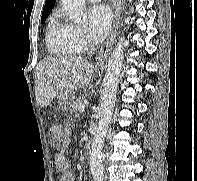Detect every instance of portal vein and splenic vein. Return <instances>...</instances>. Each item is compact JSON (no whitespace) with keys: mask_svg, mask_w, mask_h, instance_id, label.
Wrapping results in <instances>:
<instances>
[{"mask_svg":"<svg viewBox=\"0 0 197 181\" xmlns=\"http://www.w3.org/2000/svg\"><path fill=\"white\" fill-rule=\"evenodd\" d=\"M84 111H85V107L84 106L79 107V113H83Z\"/></svg>","mask_w":197,"mask_h":181,"instance_id":"1","label":"portal vein and splenic vein"}]
</instances>
